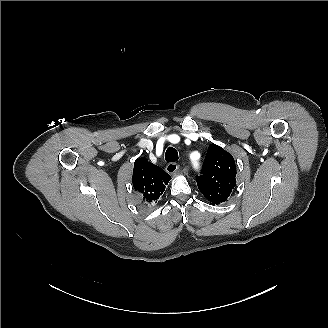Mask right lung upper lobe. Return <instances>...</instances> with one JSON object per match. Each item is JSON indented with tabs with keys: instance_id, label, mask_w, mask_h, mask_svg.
Listing matches in <instances>:
<instances>
[{
	"instance_id": "right-lung-upper-lobe-1",
	"label": "right lung upper lobe",
	"mask_w": 328,
	"mask_h": 328,
	"mask_svg": "<svg viewBox=\"0 0 328 328\" xmlns=\"http://www.w3.org/2000/svg\"><path fill=\"white\" fill-rule=\"evenodd\" d=\"M171 177L160 167L139 158L134 163L132 182L146 203L156 202L163 194Z\"/></svg>"
}]
</instances>
